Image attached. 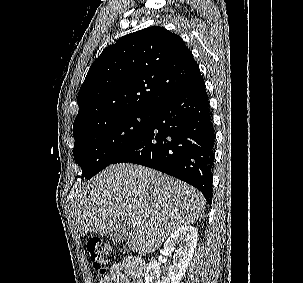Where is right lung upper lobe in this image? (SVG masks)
Wrapping results in <instances>:
<instances>
[{
  "mask_svg": "<svg viewBox=\"0 0 303 283\" xmlns=\"http://www.w3.org/2000/svg\"><path fill=\"white\" fill-rule=\"evenodd\" d=\"M200 79L180 36L159 26L123 36L91 65L79 90L73 133L124 113L152 111Z\"/></svg>",
  "mask_w": 303,
  "mask_h": 283,
  "instance_id": "1",
  "label": "right lung upper lobe"
}]
</instances>
